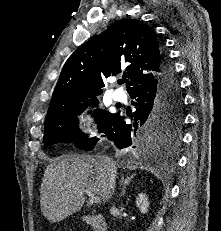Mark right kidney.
<instances>
[{
    "mask_svg": "<svg viewBox=\"0 0 221 231\" xmlns=\"http://www.w3.org/2000/svg\"><path fill=\"white\" fill-rule=\"evenodd\" d=\"M136 206L141 213L146 214L148 212L149 202L145 194L140 193L136 198Z\"/></svg>",
    "mask_w": 221,
    "mask_h": 231,
    "instance_id": "ca27d5eb",
    "label": "right kidney"
}]
</instances>
